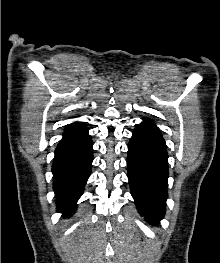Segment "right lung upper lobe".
I'll return each instance as SVG.
<instances>
[{"label": "right lung upper lobe", "instance_id": "cb5924a9", "mask_svg": "<svg viewBox=\"0 0 220 263\" xmlns=\"http://www.w3.org/2000/svg\"><path fill=\"white\" fill-rule=\"evenodd\" d=\"M86 129L87 128L85 127L83 122H75L67 125L65 132L74 133V132L85 131Z\"/></svg>", "mask_w": 220, "mask_h": 263}]
</instances>
